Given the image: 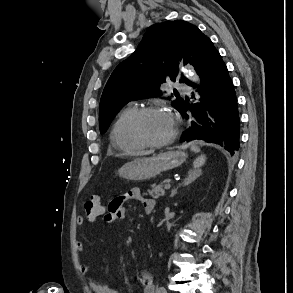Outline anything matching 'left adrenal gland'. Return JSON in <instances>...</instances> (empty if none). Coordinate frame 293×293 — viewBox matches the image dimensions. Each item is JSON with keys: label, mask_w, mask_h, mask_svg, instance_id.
I'll use <instances>...</instances> for the list:
<instances>
[{"label": "left adrenal gland", "mask_w": 293, "mask_h": 293, "mask_svg": "<svg viewBox=\"0 0 293 293\" xmlns=\"http://www.w3.org/2000/svg\"><path fill=\"white\" fill-rule=\"evenodd\" d=\"M201 175V171L199 170H190L188 171V175L187 177L184 179L183 183L180 184L178 187L174 188L172 191H171V195L170 197H174L175 194H177V190L180 186H187L189 185L190 183L194 182L196 180V178H198L199 176Z\"/></svg>", "instance_id": "left-adrenal-gland-1"}]
</instances>
